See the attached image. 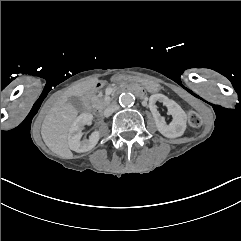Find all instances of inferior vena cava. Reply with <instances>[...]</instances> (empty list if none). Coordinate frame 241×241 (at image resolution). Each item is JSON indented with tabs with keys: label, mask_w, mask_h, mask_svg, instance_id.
I'll use <instances>...</instances> for the list:
<instances>
[{
	"label": "inferior vena cava",
	"mask_w": 241,
	"mask_h": 241,
	"mask_svg": "<svg viewBox=\"0 0 241 241\" xmlns=\"http://www.w3.org/2000/svg\"><path fill=\"white\" fill-rule=\"evenodd\" d=\"M119 110V105L117 104H111L104 110V116L109 117L112 113Z\"/></svg>",
	"instance_id": "602c4592"
}]
</instances>
